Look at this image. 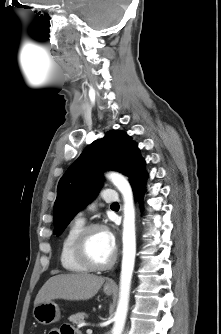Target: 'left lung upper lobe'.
I'll list each match as a JSON object with an SVG mask.
<instances>
[{
    "instance_id": "obj_1",
    "label": "left lung upper lobe",
    "mask_w": 221,
    "mask_h": 334,
    "mask_svg": "<svg viewBox=\"0 0 221 334\" xmlns=\"http://www.w3.org/2000/svg\"><path fill=\"white\" fill-rule=\"evenodd\" d=\"M144 165L137 143L122 131H109L90 144L58 183L54 234L59 236L75 214L94 199L102 184V171H118L131 181Z\"/></svg>"
}]
</instances>
